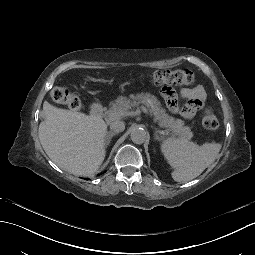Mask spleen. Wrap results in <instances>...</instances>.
Wrapping results in <instances>:
<instances>
[{"instance_id":"1","label":"spleen","mask_w":255,"mask_h":255,"mask_svg":"<svg viewBox=\"0 0 255 255\" xmlns=\"http://www.w3.org/2000/svg\"><path fill=\"white\" fill-rule=\"evenodd\" d=\"M220 149L218 143L199 146L184 138H168L161 145L164 157L175 169L172 178L177 182H188L199 176L213 163Z\"/></svg>"}]
</instances>
